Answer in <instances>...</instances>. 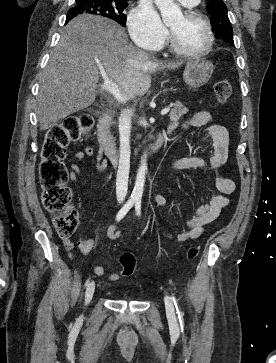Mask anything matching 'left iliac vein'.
Listing matches in <instances>:
<instances>
[{
  "mask_svg": "<svg viewBox=\"0 0 276 363\" xmlns=\"http://www.w3.org/2000/svg\"><path fill=\"white\" fill-rule=\"evenodd\" d=\"M165 307H166V314L169 318V320L176 324V315H175V309L174 304L169 296L164 297Z\"/></svg>",
  "mask_w": 276,
  "mask_h": 363,
  "instance_id": "1",
  "label": "left iliac vein"
}]
</instances>
